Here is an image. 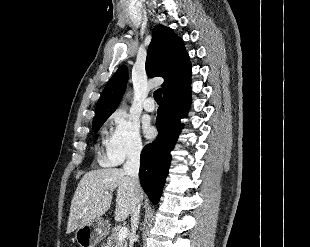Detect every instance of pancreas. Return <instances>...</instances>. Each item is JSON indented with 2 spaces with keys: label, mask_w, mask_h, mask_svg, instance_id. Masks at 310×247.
Returning a JSON list of instances; mask_svg holds the SVG:
<instances>
[{
  "label": "pancreas",
  "mask_w": 310,
  "mask_h": 247,
  "mask_svg": "<svg viewBox=\"0 0 310 247\" xmlns=\"http://www.w3.org/2000/svg\"><path fill=\"white\" fill-rule=\"evenodd\" d=\"M128 243L124 239L122 241H119L117 238L116 232H112L111 236H109L105 243L102 244L101 247H127Z\"/></svg>",
  "instance_id": "1"
}]
</instances>
